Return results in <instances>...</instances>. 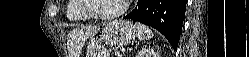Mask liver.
Wrapping results in <instances>:
<instances>
[{
	"instance_id": "1",
	"label": "liver",
	"mask_w": 249,
	"mask_h": 57,
	"mask_svg": "<svg viewBox=\"0 0 249 57\" xmlns=\"http://www.w3.org/2000/svg\"><path fill=\"white\" fill-rule=\"evenodd\" d=\"M98 27H86L81 29H75L70 34L71 41V55H75L72 57H79L80 51L84 46V43L87 39L92 38L98 32Z\"/></svg>"
}]
</instances>
